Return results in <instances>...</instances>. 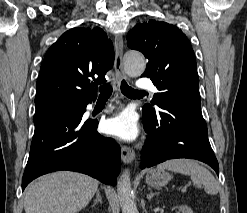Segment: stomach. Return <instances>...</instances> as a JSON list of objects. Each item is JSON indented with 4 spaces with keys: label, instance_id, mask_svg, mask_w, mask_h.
Segmentation results:
<instances>
[{
    "label": "stomach",
    "instance_id": "0dacf381",
    "mask_svg": "<svg viewBox=\"0 0 247 213\" xmlns=\"http://www.w3.org/2000/svg\"><path fill=\"white\" fill-rule=\"evenodd\" d=\"M171 176L164 170L151 169L148 171L145 181L149 186L160 187L169 182Z\"/></svg>",
    "mask_w": 247,
    "mask_h": 213
}]
</instances>
